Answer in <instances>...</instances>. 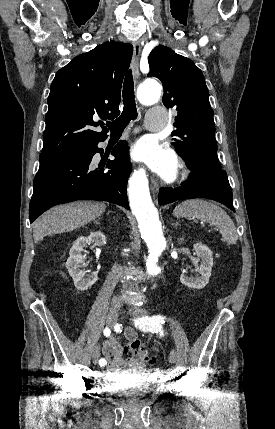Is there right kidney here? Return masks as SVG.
I'll list each match as a JSON object with an SVG mask.
<instances>
[{
	"label": "right kidney",
	"mask_w": 275,
	"mask_h": 429,
	"mask_svg": "<svg viewBox=\"0 0 275 429\" xmlns=\"http://www.w3.org/2000/svg\"><path fill=\"white\" fill-rule=\"evenodd\" d=\"M91 243L95 246H103L106 244V237L100 231L92 232L87 237H79L73 243L69 253L70 257L66 262V268L69 272V275L72 277L75 287L80 291L88 290L98 280V271H94L87 276V272L85 270H81L85 261V258L81 253L83 248L87 245H90Z\"/></svg>",
	"instance_id": "ca27d5eb"
}]
</instances>
